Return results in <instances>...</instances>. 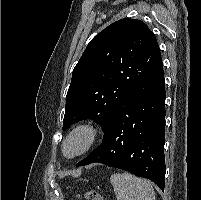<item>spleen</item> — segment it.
Listing matches in <instances>:
<instances>
[{"label":"spleen","mask_w":201,"mask_h":200,"mask_svg":"<svg viewBox=\"0 0 201 200\" xmlns=\"http://www.w3.org/2000/svg\"><path fill=\"white\" fill-rule=\"evenodd\" d=\"M110 182L117 200H155L151 183L130 173H114Z\"/></svg>","instance_id":"obj_1"}]
</instances>
